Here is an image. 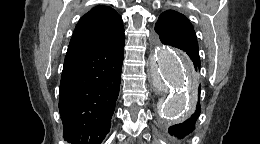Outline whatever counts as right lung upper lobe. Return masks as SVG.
<instances>
[{"label": "right lung upper lobe", "instance_id": "cb5924a9", "mask_svg": "<svg viewBox=\"0 0 260 144\" xmlns=\"http://www.w3.org/2000/svg\"><path fill=\"white\" fill-rule=\"evenodd\" d=\"M125 38L121 16L111 7L100 5L82 16L77 23L68 53L114 43Z\"/></svg>", "mask_w": 260, "mask_h": 144}]
</instances>
